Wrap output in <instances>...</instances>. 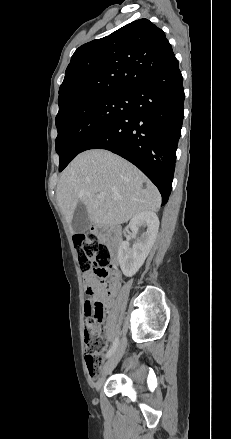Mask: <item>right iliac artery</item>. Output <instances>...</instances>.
Segmentation results:
<instances>
[{
  "label": "right iliac artery",
  "instance_id": "82829eb1",
  "mask_svg": "<svg viewBox=\"0 0 231 439\" xmlns=\"http://www.w3.org/2000/svg\"><path fill=\"white\" fill-rule=\"evenodd\" d=\"M118 338L115 339L112 347L109 349V351L106 354V358H109L116 350L117 346H118Z\"/></svg>",
  "mask_w": 231,
  "mask_h": 439
}]
</instances>
